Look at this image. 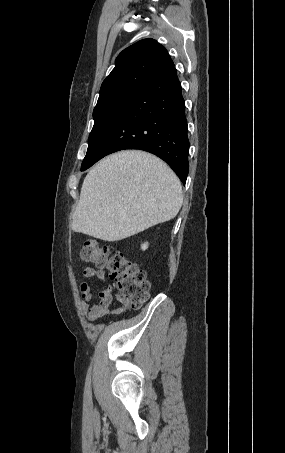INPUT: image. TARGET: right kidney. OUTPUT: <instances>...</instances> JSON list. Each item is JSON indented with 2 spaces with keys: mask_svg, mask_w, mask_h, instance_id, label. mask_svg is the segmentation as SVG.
<instances>
[{
  "mask_svg": "<svg viewBox=\"0 0 285 453\" xmlns=\"http://www.w3.org/2000/svg\"><path fill=\"white\" fill-rule=\"evenodd\" d=\"M147 248H148V242L143 243V244L141 245V249H142L143 251H145Z\"/></svg>",
  "mask_w": 285,
  "mask_h": 453,
  "instance_id": "1",
  "label": "right kidney"
}]
</instances>
